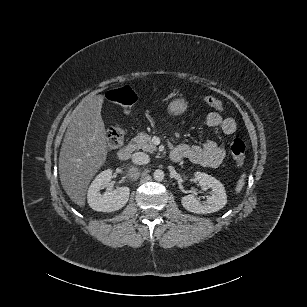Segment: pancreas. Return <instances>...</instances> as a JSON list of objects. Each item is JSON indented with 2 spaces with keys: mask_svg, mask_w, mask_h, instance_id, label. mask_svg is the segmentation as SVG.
I'll return each instance as SVG.
<instances>
[{
  "mask_svg": "<svg viewBox=\"0 0 307 307\" xmlns=\"http://www.w3.org/2000/svg\"><path fill=\"white\" fill-rule=\"evenodd\" d=\"M132 142L136 144L138 149H142L145 152L153 153L157 150V147L151 141V137L145 133H138L132 139Z\"/></svg>",
  "mask_w": 307,
  "mask_h": 307,
  "instance_id": "1",
  "label": "pancreas"
}]
</instances>
